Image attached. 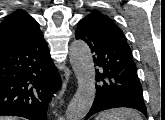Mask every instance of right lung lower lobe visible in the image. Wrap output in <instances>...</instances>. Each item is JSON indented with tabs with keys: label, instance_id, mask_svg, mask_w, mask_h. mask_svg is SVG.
Returning <instances> with one entry per match:
<instances>
[{
	"label": "right lung lower lobe",
	"instance_id": "obj_1",
	"mask_svg": "<svg viewBox=\"0 0 165 120\" xmlns=\"http://www.w3.org/2000/svg\"><path fill=\"white\" fill-rule=\"evenodd\" d=\"M61 79L43 34L0 50V116L46 120Z\"/></svg>",
	"mask_w": 165,
	"mask_h": 120
}]
</instances>
